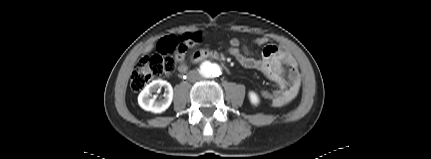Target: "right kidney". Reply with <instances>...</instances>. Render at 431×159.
<instances>
[{
  "label": "right kidney",
  "instance_id": "1",
  "mask_svg": "<svg viewBox=\"0 0 431 159\" xmlns=\"http://www.w3.org/2000/svg\"><path fill=\"white\" fill-rule=\"evenodd\" d=\"M165 88L163 98L156 99L152 93ZM152 97V98H151ZM173 100V88L170 83L162 79L154 80L148 84L138 96V104L146 111L162 113L169 108Z\"/></svg>",
  "mask_w": 431,
  "mask_h": 159
}]
</instances>
